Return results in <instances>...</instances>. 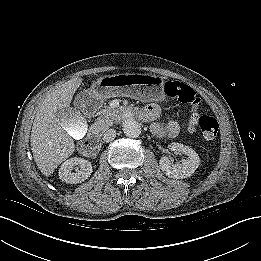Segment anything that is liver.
<instances>
[{"label": "liver", "instance_id": "1", "mask_svg": "<svg viewBox=\"0 0 261 261\" xmlns=\"http://www.w3.org/2000/svg\"><path fill=\"white\" fill-rule=\"evenodd\" d=\"M82 80L73 78L48 92L37 107L30 142L33 158L45 176L51 175L74 152V141L65 126L68 122L65 110L71 113L72 125L82 120L77 110H70L73 95Z\"/></svg>", "mask_w": 261, "mask_h": 261}]
</instances>
